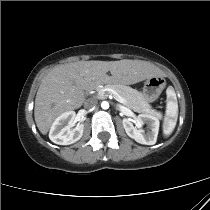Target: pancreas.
Wrapping results in <instances>:
<instances>
[{
  "label": "pancreas",
  "instance_id": "1",
  "mask_svg": "<svg viewBox=\"0 0 210 210\" xmlns=\"http://www.w3.org/2000/svg\"><path fill=\"white\" fill-rule=\"evenodd\" d=\"M112 89L116 91L124 100V104L138 113L158 116L159 114L151 109V106L146 101L143 93L123 84H107L97 90V96L102 98L106 95V90Z\"/></svg>",
  "mask_w": 210,
  "mask_h": 210
}]
</instances>
